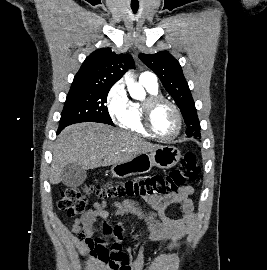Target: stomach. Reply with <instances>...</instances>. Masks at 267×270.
<instances>
[{
  "instance_id": "obj_1",
  "label": "stomach",
  "mask_w": 267,
  "mask_h": 270,
  "mask_svg": "<svg viewBox=\"0 0 267 270\" xmlns=\"http://www.w3.org/2000/svg\"><path fill=\"white\" fill-rule=\"evenodd\" d=\"M181 153L174 146H159L151 152L137 155L133 159L115 164L111 168V174L116 178H126L136 174H143L153 166L168 169L175 166L180 160Z\"/></svg>"
}]
</instances>
